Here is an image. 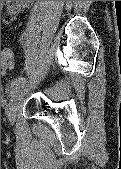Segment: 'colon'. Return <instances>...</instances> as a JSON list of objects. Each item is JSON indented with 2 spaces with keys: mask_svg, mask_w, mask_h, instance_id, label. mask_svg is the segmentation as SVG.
<instances>
[{
  "mask_svg": "<svg viewBox=\"0 0 121 169\" xmlns=\"http://www.w3.org/2000/svg\"><path fill=\"white\" fill-rule=\"evenodd\" d=\"M14 63V54L10 48H4L1 53V71L11 68Z\"/></svg>",
  "mask_w": 121,
  "mask_h": 169,
  "instance_id": "colon-1",
  "label": "colon"
}]
</instances>
